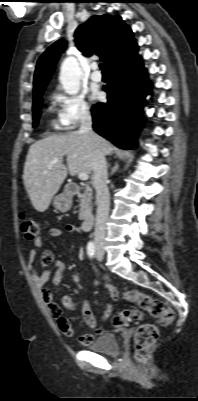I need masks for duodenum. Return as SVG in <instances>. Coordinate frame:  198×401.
Returning a JSON list of instances; mask_svg holds the SVG:
<instances>
[{"label":"duodenum","mask_w":198,"mask_h":401,"mask_svg":"<svg viewBox=\"0 0 198 401\" xmlns=\"http://www.w3.org/2000/svg\"><path fill=\"white\" fill-rule=\"evenodd\" d=\"M67 191L71 196H73V195H76L80 191V187L78 185H75V184H70L67 187ZM94 220H95V217H94L93 214H87L84 217V220L82 222V230L85 231V232L89 231L90 228L92 227L93 223H94Z\"/></svg>","instance_id":"obj_1"}]
</instances>
